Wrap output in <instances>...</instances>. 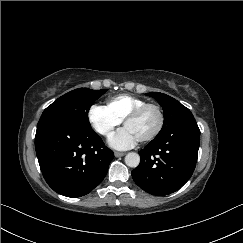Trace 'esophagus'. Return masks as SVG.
<instances>
[{
    "label": "esophagus",
    "mask_w": 243,
    "mask_h": 243,
    "mask_svg": "<svg viewBox=\"0 0 243 243\" xmlns=\"http://www.w3.org/2000/svg\"><path fill=\"white\" fill-rule=\"evenodd\" d=\"M114 155H115V157H122V156H124L125 155V153L124 152H114Z\"/></svg>",
    "instance_id": "1"
}]
</instances>
